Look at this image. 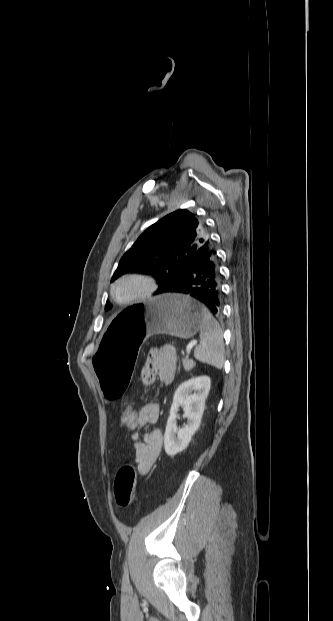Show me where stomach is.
<instances>
[{
  "label": "stomach",
  "mask_w": 333,
  "mask_h": 621,
  "mask_svg": "<svg viewBox=\"0 0 333 621\" xmlns=\"http://www.w3.org/2000/svg\"><path fill=\"white\" fill-rule=\"evenodd\" d=\"M206 309L182 294H163L113 316L94 356L99 390L107 402H122L131 385L144 338L168 334L188 339L202 324Z\"/></svg>",
  "instance_id": "obj_1"
}]
</instances>
